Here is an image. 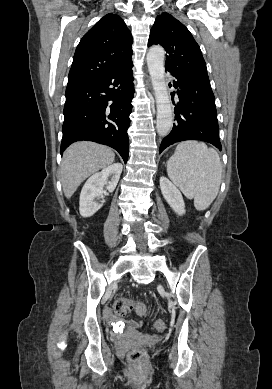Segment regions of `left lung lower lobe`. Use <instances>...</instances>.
Wrapping results in <instances>:
<instances>
[{
    "mask_svg": "<svg viewBox=\"0 0 272 389\" xmlns=\"http://www.w3.org/2000/svg\"><path fill=\"white\" fill-rule=\"evenodd\" d=\"M179 102L172 131L161 142L160 152L176 142L200 140L222 149L215 98L207 74L174 75ZM174 94H171L174 102Z\"/></svg>",
    "mask_w": 272,
    "mask_h": 389,
    "instance_id": "left-lung-lower-lobe-1",
    "label": "left lung lower lobe"
}]
</instances>
